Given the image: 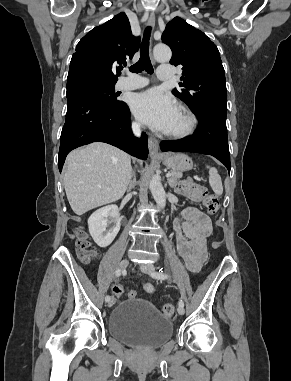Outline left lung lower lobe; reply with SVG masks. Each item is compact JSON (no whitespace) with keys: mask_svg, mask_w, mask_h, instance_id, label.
Listing matches in <instances>:
<instances>
[{"mask_svg":"<svg viewBox=\"0 0 291 381\" xmlns=\"http://www.w3.org/2000/svg\"><path fill=\"white\" fill-rule=\"evenodd\" d=\"M198 117L197 131L184 139L162 141L163 152H196L216 157L230 173V153L227 138L226 114L221 112H203Z\"/></svg>","mask_w":291,"mask_h":381,"instance_id":"1","label":"left lung lower lobe"}]
</instances>
